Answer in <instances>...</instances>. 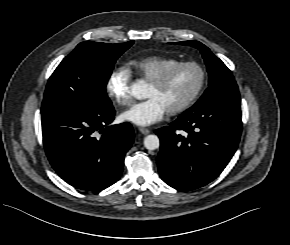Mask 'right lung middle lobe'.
I'll use <instances>...</instances> for the list:
<instances>
[{
  "label": "right lung middle lobe",
  "instance_id": "1",
  "mask_svg": "<svg viewBox=\"0 0 290 245\" xmlns=\"http://www.w3.org/2000/svg\"><path fill=\"white\" fill-rule=\"evenodd\" d=\"M85 41L55 69L44 94L41 115L72 114L112 106L106 85L116 60L133 44Z\"/></svg>",
  "mask_w": 290,
  "mask_h": 245
}]
</instances>
